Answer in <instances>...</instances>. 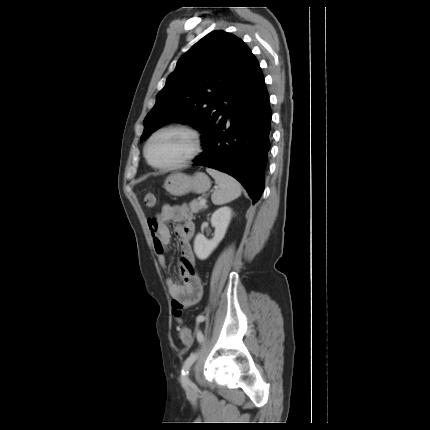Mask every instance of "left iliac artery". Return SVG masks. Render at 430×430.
Segmentation results:
<instances>
[{"instance_id": "obj_1", "label": "left iliac artery", "mask_w": 430, "mask_h": 430, "mask_svg": "<svg viewBox=\"0 0 430 430\" xmlns=\"http://www.w3.org/2000/svg\"><path fill=\"white\" fill-rule=\"evenodd\" d=\"M203 320H204V317L202 315H197L196 316V321L197 322H202ZM197 338H198L199 343H202L204 341V336H203L202 332L198 333ZM196 358H197V352H192L189 355V357L185 360V363H184L183 368H182V376H181L183 382L187 381V379H188L187 376L189 374V369H190L191 365L194 363V361L196 360Z\"/></svg>"}]
</instances>
